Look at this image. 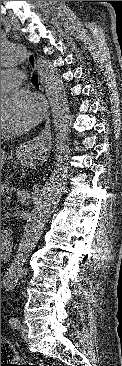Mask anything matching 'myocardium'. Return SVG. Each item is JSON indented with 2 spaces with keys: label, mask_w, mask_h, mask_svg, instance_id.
<instances>
[{
  "label": "myocardium",
  "mask_w": 122,
  "mask_h": 366,
  "mask_svg": "<svg viewBox=\"0 0 122 366\" xmlns=\"http://www.w3.org/2000/svg\"><path fill=\"white\" fill-rule=\"evenodd\" d=\"M5 134V131L1 128V136Z\"/></svg>",
  "instance_id": "obj_1"
}]
</instances>
